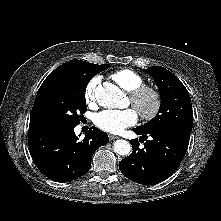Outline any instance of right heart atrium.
Listing matches in <instances>:
<instances>
[{"label": "right heart atrium", "instance_id": "right-heart-atrium-1", "mask_svg": "<svg viewBox=\"0 0 221 221\" xmlns=\"http://www.w3.org/2000/svg\"><path fill=\"white\" fill-rule=\"evenodd\" d=\"M100 82L99 77H93L86 85L84 99L88 105H93L97 99V88Z\"/></svg>", "mask_w": 221, "mask_h": 221}]
</instances>
